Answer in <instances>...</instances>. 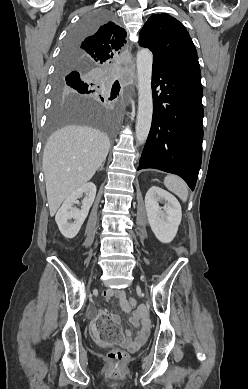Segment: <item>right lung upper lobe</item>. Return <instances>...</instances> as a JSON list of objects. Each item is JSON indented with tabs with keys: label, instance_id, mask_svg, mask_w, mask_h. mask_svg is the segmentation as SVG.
<instances>
[{
	"label": "right lung upper lobe",
	"instance_id": "obj_1",
	"mask_svg": "<svg viewBox=\"0 0 248 389\" xmlns=\"http://www.w3.org/2000/svg\"><path fill=\"white\" fill-rule=\"evenodd\" d=\"M125 37L123 28L114 22H106L94 33L63 50L60 56L62 66L74 63L95 69L108 65L126 42Z\"/></svg>",
	"mask_w": 248,
	"mask_h": 389
}]
</instances>
